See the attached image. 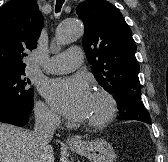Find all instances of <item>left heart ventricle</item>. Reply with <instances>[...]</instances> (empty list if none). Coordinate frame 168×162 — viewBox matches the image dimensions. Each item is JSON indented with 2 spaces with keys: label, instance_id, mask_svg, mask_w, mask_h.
Returning a JSON list of instances; mask_svg holds the SVG:
<instances>
[{
  "label": "left heart ventricle",
  "instance_id": "left-heart-ventricle-1",
  "mask_svg": "<svg viewBox=\"0 0 168 162\" xmlns=\"http://www.w3.org/2000/svg\"><path fill=\"white\" fill-rule=\"evenodd\" d=\"M105 110V103L102 99L92 95L85 121L98 118Z\"/></svg>",
  "mask_w": 168,
  "mask_h": 162
}]
</instances>
